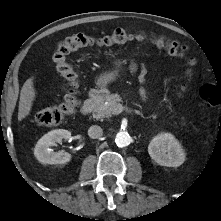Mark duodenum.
Returning a JSON list of instances; mask_svg holds the SVG:
<instances>
[{"label":"duodenum","mask_w":221,"mask_h":221,"mask_svg":"<svg viewBox=\"0 0 221 221\" xmlns=\"http://www.w3.org/2000/svg\"><path fill=\"white\" fill-rule=\"evenodd\" d=\"M98 96H99L98 91H92L90 93V96L87 98V100L84 102V104L81 107L82 115L86 116L93 111V109L95 108V104H96Z\"/></svg>","instance_id":"obj_1"}]
</instances>
